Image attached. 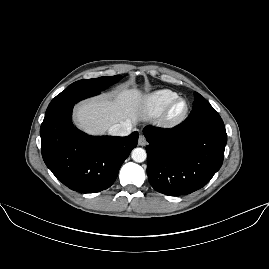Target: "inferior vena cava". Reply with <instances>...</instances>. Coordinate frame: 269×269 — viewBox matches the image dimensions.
<instances>
[{
  "label": "inferior vena cava",
  "instance_id": "inferior-vena-cava-1",
  "mask_svg": "<svg viewBox=\"0 0 269 269\" xmlns=\"http://www.w3.org/2000/svg\"><path fill=\"white\" fill-rule=\"evenodd\" d=\"M132 126L129 122H121L110 127L109 133L119 136H127L131 133Z\"/></svg>",
  "mask_w": 269,
  "mask_h": 269
}]
</instances>
